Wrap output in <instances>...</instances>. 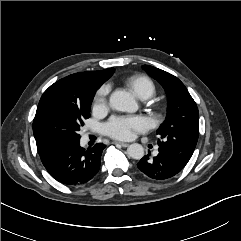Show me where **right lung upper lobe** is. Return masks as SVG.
I'll use <instances>...</instances> for the list:
<instances>
[{
  "instance_id": "right-lung-upper-lobe-1",
  "label": "right lung upper lobe",
  "mask_w": 241,
  "mask_h": 241,
  "mask_svg": "<svg viewBox=\"0 0 241 241\" xmlns=\"http://www.w3.org/2000/svg\"><path fill=\"white\" fill-rule=\"evenodd\" d=\"M113 72L114 68H109L100 71L75 73L60 79L43 93L37 107L36 116L47 104L53 101L83 104L94 97L96 90L110 78Z\"/></svg>"
}]
</instances>
